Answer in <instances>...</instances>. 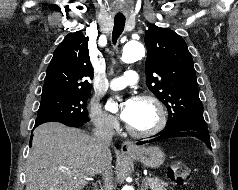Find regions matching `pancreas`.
I'll list each match as a JSON object with an SVG mask.
<instances>
[{"mask_svg": "<svg viewBox=\"0 0 238 190\" xmlns=\"http://www.w3.org/2000/svg\"><path fill=\"white\" fill-rule=\"evenodd\" d=\"M148 185L151 190H166L167 183L158 178H151Z\"/></svg>", "mask_w": 238, "mask_h": 190, "instance_id": "pancreas-1", "label": "pancreas"}]
</instances>
